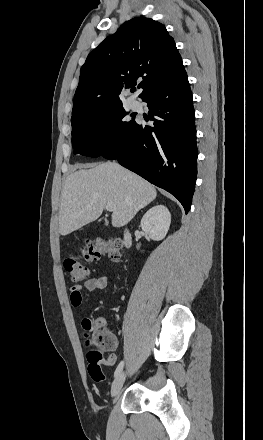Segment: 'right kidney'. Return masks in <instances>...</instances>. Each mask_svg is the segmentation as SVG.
<instances>
[{
    "mask_svg": "<svg viewBox=\"0 0 263 440\" xmlns=\"http://www.w3.org/2000/svg\"><path fill=\"white\" fill-rule=\"evenodd\" d=\"M171 223V214L164 205L150 208L141 219V228L151 239L160 241L165 238Z\"/></svg>",
    "mask_w": 263,
    "mask_h": 440,
    "instance_id": "right-kidney-1",
    "label": "right kidney"
}]
</instances>
